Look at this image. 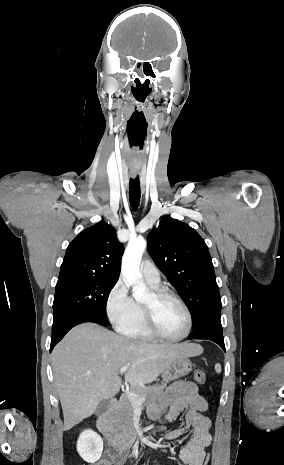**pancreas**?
I'll list each match as a JSON object with an SVG mask.
<instances>
[{"label":"pancreas","mask_w":284,"mask_h":465,"mask_svg":"<svg viewBox=\"0 0 284 465\" xmlns=\"http://www.w3.org/2000/svg\"><path fill=\"white\" fill-rule=\"evenodd\" d=\"M168 381L162 383V385H153V387H139L136 389V395L139 397H145L146 401L141 407L150 405L153 401H156L160 395H162L165 387H167ZM113 427H115L117 433H119L122 439H128V437H134L136 431L133 423V407L127 399L126 395H123L119 401L118 409L113 415Z\"/></svg>","instance_id":"obj_1"}]
</instances>
